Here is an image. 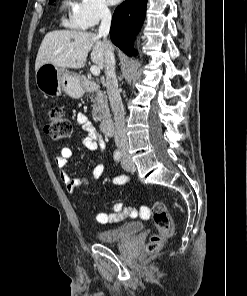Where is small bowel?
<instances>
[{
    "mask_svg": "<svg viewBox=\"0 0 247 296\" xmlns=\"http://www.w3.org/2000/svg\"><path fill=\"white\" fill-rule=\"evenodd\" d=\"M77 122L86 132V136L83 140L84 146L93 152H97L100 146L98 132L93 123L83 113H79L77 115ZM71 154L72 152L69 148H62L60 153L55 157V165L60 170V177L65 184L66 190L68 193L73 194L76 188L89 185L94 179L101 177L104 173L105 167L103 164H97L93 168L90 176L82 175L78 177H72L64 170L68 160L71 157ZM128 182L129 178L127 176H116L112 179V186L113 188H119ZM146 211L147 208L141 209V213ZM136 215L137 212L133 208L124 207L121 202H115L112 205L111 213L99 212L95 215V219L99 224L108 225L124 222L128 217H135Z\"/></svg>",
    "mask_w": 247,
    "mask_h": 296,
    "instance_id": "c3829d8e",
    "label": "small bowel"
}]
</instances>
